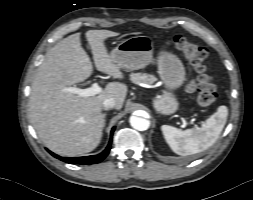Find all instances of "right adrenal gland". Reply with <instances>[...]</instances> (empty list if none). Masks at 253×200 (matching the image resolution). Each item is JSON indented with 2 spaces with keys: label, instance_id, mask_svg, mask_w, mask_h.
Wrapping results in <instances>:
<instances>
[{
  "label": "right adrenal gland",
  "instance_id": "1",
  "mask_svg": "<svg viewBox=\"0 0 253 200\" xmlns=\"http://www.w3.org/2000/svg\"><path fill=\"white\" fill-rule=\"evenodd\" d=\"M105 117H106V114L104 113V114H103V121H104L103 127L105 126Z\"/></svg>",
  "mask_w": 253,
  "mask_h": 200
}]
</instances>
